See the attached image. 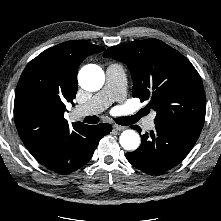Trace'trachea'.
<instances>
[{"label":"trachea","instance_id":"3493384b","mask_svg":"<svg viewBox=\"0 0 221 221\" xmlns=\"http://www.w3.org/2000/svg\"><path fill=\"white\" fill-rule=\"evenodd\" d=\"M141 116L142 114L138 113L134 116L116 118L115 121L119 125H130L135 123ZM83 121L88 124H97L99 122V118L97 116H87Z\"/></svg>","mask_w":221,"mask_h":221}]
</instances>
